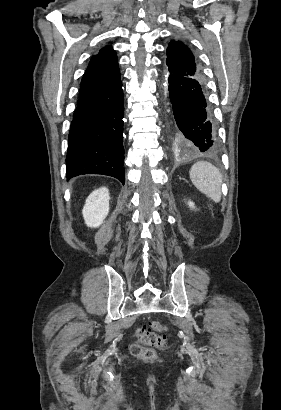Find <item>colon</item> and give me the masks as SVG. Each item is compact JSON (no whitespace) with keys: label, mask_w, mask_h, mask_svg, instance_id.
Listing matches in <instances>:
<instances>
[{"label":"colon","mask_w":281,"mask_h":410,"mask_svg":"<svg viewBox=\"0 0 281 410\" xmlns=\"http://www.w3.org/2000/svg\"><path fill=\"white\" fill-rule=\"evenodd\" d=\"M166 330V325L159 321L137 328L135 333L137 340L130 347L131 353L143 359L154 358V348H163L169 342V338L164 333Z\"/></svg>","instance_id":"5ec220e1"}]
</instances>
